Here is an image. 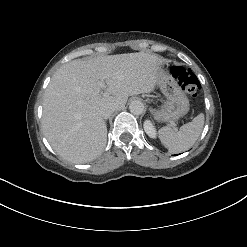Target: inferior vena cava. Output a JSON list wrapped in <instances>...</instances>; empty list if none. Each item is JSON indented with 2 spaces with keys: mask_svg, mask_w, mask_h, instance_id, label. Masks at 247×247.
Masks as SVG:
<instances>
[{
  "mask_svg": "<svg viewBox=\"0 0 247 247\" xmlns=\"http://www.w3.org/2000/svg\"><path fill=\"white\" fill-rule=\"evenodd\" d=\"M117 109L116 106L110 105V106H105L101 109V116L104 119H107L111 116V114Z\"/></svg>",
  "mask_w": 247,
  "mask_h": 247,
  "instance_id": "inferior-vena-cava-1",
  "label": "inferior vena cava"
}]
</instances>
